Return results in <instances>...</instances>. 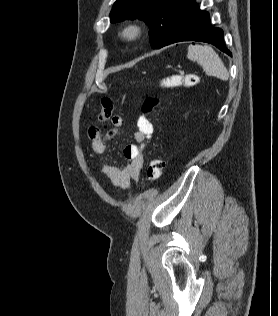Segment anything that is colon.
Listing matches in <instances>:
<instances>
[{"label":"colon","mask_w":278,"mask_h":316,"mask_svg":"<svg viewBox=\"0 0 278 316\" xmlns=\"http://www.w3.org/2000/svg\"><path fill=\"white\" fill-rule=\"evenodd\" d=\"M167 83L184 87H193L198 83V77L195 74H187L180 78H170L167 80ZM159 104V98L154 96L147 97L142 104V113L146 115L152 112ZM112 111L113 101L110 98L105 97L101 102V110L98 113L91 115L90 118L98 122H105L111 117ZM164 166L165 163L161 158H152L147 167V178L150 181L158 180L163 173Z\"/></svg>","instance_id":"colon-1"}]
</instances>
